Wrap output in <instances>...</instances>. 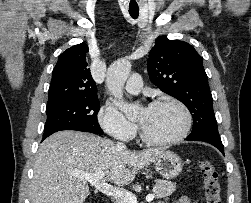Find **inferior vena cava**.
Returning <instances> with one entry per match:
<instances>
[{"label": "inferior vena cava", "mask_w": 251, "mask_h": 203, "mask_svg": "<svg viewBox=\"0 0 251 203\" xmlns=\"http://www.w3.org/2000/svg\"><path fill=\"white\" fill-rule=\"evenodd\" d=\"M117 146L120 148H126L125 144L121 142H117Z\"/></svg>", "instance_id": "obj_1"}]
</instances>
